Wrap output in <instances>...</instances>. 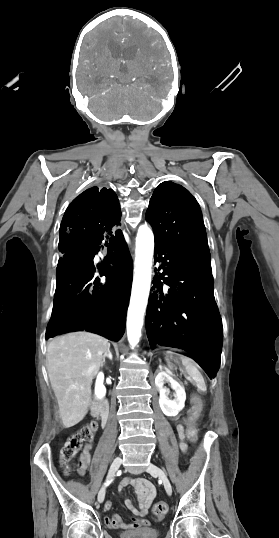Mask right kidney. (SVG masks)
<instances>
[{
	"label": "right kidney",
	"instance_id": "right-kidney-1",
	"mask_svg": "<svg viewBox=\"0 0 279 538\" xmlns=\"http://www.w3.org/2000/svg\"><path fill=\"white\" fill-rule=\"evenodd\" d=\"M103 382H104V374L103 372H99L96 378V384H95V396L96 398H99V400H102V398H104L106 394V388Z\"/></svg>",
	"mask_w": 279,
	"mask_h": 538
}]
</instances>
